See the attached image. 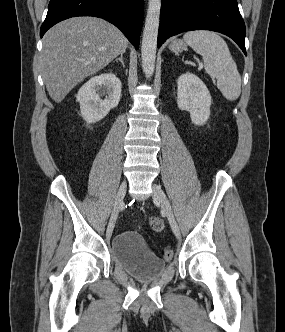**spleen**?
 <instances>
[{
  "mask_svg": "<svg viewBox=\"0 0 285 332\" xmlns=\"http://www.w3.org/2000/svg\"><path fill=\"white\" fill-rule=\"evenodd\" d=\"M184 41L202 55L206 72L217 80V87L230 101L241 94V76L227 43L217 33L206 30L184 34Z\"/></svg>",
  "mask_w": 285,
  "mask_h": 332,
  "instance_id": "1",
  "label": "spleen"
}]
</instances>
